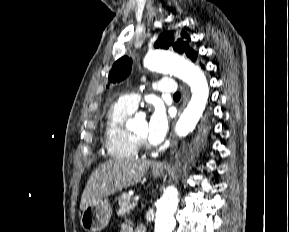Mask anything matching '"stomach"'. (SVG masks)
Wrapping results in <instances>:
<instances>
[{"label": "stomach", "instance_id": "obj_1", "mask_svg": "<svg viewBox=\"0 0 289 232\" xmlns=\"http://www.w3.org/2000/svg\"><path fill=\"white\" fill-rule=\"evenodd\" d=\"M164 174L163 169L152 170L154 177ZM112 215V207L107 199H99L87 206L81 214L80 223L86 232H100L109 223Z\"/></svg>", "mask_w": 289, "mask_h": 232}]
</instances>
